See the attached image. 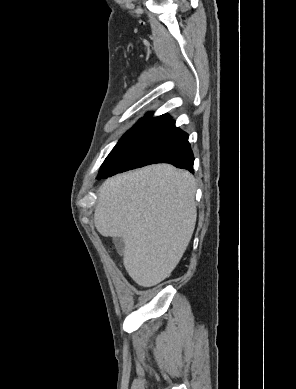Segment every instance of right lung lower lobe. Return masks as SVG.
<instances>
[{"mask_svg":"<svg viewBox=\"0 0 296 389\" xmlns=\"http://www.w3.org/2000/svg\"><path fill=\"white\" fill-rule=\"evenodd\" d=\"M155 163H169L193 172L194 155L188 142V134L175 128L162 138L149 152L146 161L139 167ZM137 167V168H139ZM130 169H113L99 173L97 179L107 178Z\"/></svg>","mask_w":296,"mask_h":389,"instance_id":"obj_1","label":"right lung lower lobe"}]
</instances>
